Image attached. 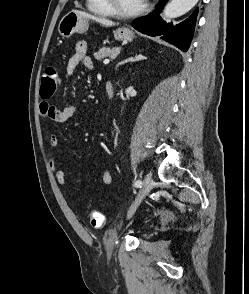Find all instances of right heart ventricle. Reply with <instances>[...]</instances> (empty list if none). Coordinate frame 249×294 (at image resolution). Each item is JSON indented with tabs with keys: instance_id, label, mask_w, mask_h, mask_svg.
I'll return each mask as SVG.
<instances>
[{
	"instance_id": "1",
	"label": "right heart ventricle",
	"mask_w": 249,
	"mask_h": 294,
	"mask_svg": "<svg viewBox=\"0 0 249 294\" xmlns=\"http://www.w3.org/2000/svg\"><path fill=\"white\" fill-rule=\"evenodd\" d=\"M87 9L100 16H112L113 13L106 5L105 0H86Z\"/></svg>"
}]
</instances>
